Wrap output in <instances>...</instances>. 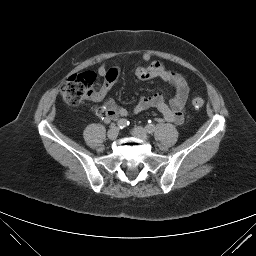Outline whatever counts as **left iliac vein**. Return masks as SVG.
Here are the masks:
<instances>
[{
	"label": "left iliac vein",
	"instance_id": "1",
	"mask_svg": "<svg viewBox=\"0 0 256 256\" xmlns=\"http://www.w3.org/2000/svg\"><path fill=\"white\" fill-rule=\"evenodd\" d=\"M132 134L138 138V139H141L143 141H148L149 139V136L146 132V130L142 127H135L133 130H132Z\"/></svg>",
	"mask_w": 256,
	"mask_h": 256
}]
</instances>
